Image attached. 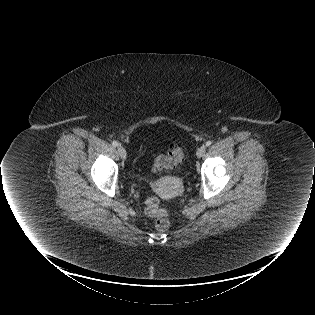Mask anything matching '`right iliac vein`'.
I'll return each instance as SVG.
<instances>
[{
    "mask_svg": "<svg viewBox=\"0 0 315 315\" xmlns=\"http://www.w3.org/2000/svg\"><path fill=\"white\" fill-rule=\"evenodd\" d=\"M118 153H119L120 157H121L123 160L126 159V157H127V152H126V150H125L124 147L119 146V147H118Z\"/></svg>",
    "mask_w": 315,
    "mask_h": 315,
    "instance_id": "obj_1",
    "label": "right iliac vein"
}]
</instances>
